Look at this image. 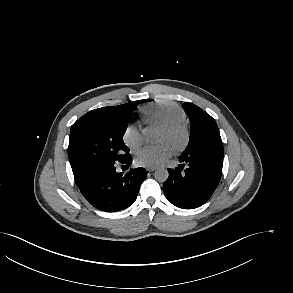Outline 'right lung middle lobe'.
<instances>
[{
  "label": "right lung middle lobe",
  "instance_id": "right-lung-middle-lobe-1",
  "mask_svg": "<svg viewBox=\"0 0 293 293\" xmlns=\"http://www.w3.org/2000/svg\"><path fill=\"white\" fill-rule=\"evenodd\" d=\"M142 102L144 100L87 113L72 125L68 155L74 173L90 175L130 156L123 135L132 112Z\"/></svg>",
  "mask_w": 293,
  "mask_h": 293
}]
</instances>
